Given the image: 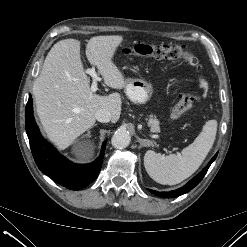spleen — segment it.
<instances>
[{
	"label": "spleen",
	"mask_w": 247,
	"mask_h": 247,
	"mask_svg": "<svg viewBox=\"0 0 247 247\" xmlns=\"http://www.w3.org/2000/svg\"><path fill=\"white\" fill-rule=\"evenodd\" d=\"M217 133V121L209 120L192 144L181 154L167 156L148 150L144 166L149 176L164 185H175L190 177L203 163L211 150Z\"/></svg>",
	"instance_id": "3e777b00"
}]
</instances>
